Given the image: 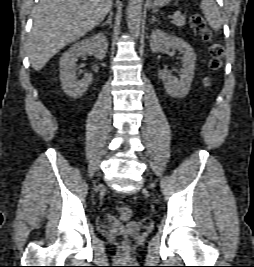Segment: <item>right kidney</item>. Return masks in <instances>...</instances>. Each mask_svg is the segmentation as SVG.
Returning a JSON list of instances; mask_svg holds the SVG:
<instances>
[{
  "mask_svg": "<svg viewBox=\"0 0 254 267\" xmlns=\"http://www.w3.org/2000/svg\"><path fill=\"white\" fill-rule=\"evenodd\" d=\"M108 41L103 33L72 45L60 59V81L63 91L72 98H80L92 82V74H86L82 80L75 79V62L78 57L87 54L102 60L107 53Z\"/></svg>",
  "mask_w": 254,
  "mask_h": 267,
  "instance_id": "obj_1",
  "label": "right kidney"
}]
</instances>
